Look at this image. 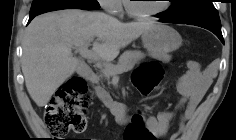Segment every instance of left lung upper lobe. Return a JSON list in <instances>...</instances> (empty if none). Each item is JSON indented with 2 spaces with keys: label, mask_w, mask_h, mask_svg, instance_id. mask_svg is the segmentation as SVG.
<instances>
[{
  "label": "left lung upper lobe",
  "mask_w": 236,
  "mask_h": 140,
  "mask_svg": "<svg viewBox=\"0 0 236 140\" xmlns=\"http://www.w3.org/2000/svg\"><path fill=\"white\" fill-rule=\"evenodd\" d=\"M213 0H171L169 10L163 12L169 21L205 24L221 28L219 14Z\"/></svg>",
  "instance_id": "obj_1"
}]
</instances>
